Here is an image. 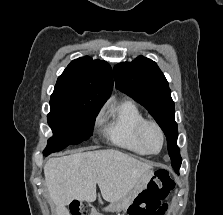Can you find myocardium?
<instances>
[{"mask_svg": "<svg viewBox=\"0 0 223 215\" xmlns=\"http://www.w3.org/2000/svg\"><path fill=\"white\" fill-rule=\"evenodd\" d=\"M151 126V127H154L157 132L159 133V136H160V141H161V144H160V148L156 151H152V150H149L145 147L144 145V135H145V131L146 129ZM138 139H139V143L142 147V150L145 154H148V155H156V154H159L164 146V133H163V130L162 128L160 127V125L153 121V120H144L139 128H138Z\"/></svg>", "mask_w": 223, "mask_h": 215, "instance_id": "myocardium-1", "label": "myocardium"}]
</instances>
